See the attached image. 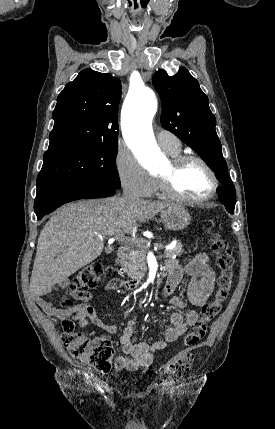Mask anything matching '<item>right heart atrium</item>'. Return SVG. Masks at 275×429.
<instances>
[{"mask_svg": "<svg viewBox=\"0 0 275 429\" xmlns=\"http://www.w3.org/2000/svg\"><path fill=\"white\" fill-rule=\"evenodd\" d=\"M115 165L119 181L129 193L145 197L156 189L155 178L145 171L128 151H117Z\"/></svg>", "mask_w": 275, "mask_h": 429, "instance_id": "1", "label": "right heart atrium"}]
</instances>
